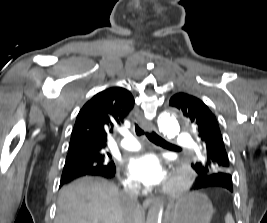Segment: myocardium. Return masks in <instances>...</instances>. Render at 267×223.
I'll list each match as a JSON object with an SVG mask.
<instances>
[{
  "instance_id": "myocardium-1",
  "label": "myocardium",
  "mask_w": 267,
  "mask_h": 223,
  "mask_svg": "<svg viewBox=\"0 0 267 223\" xmlns=\"http://www.w3.org/2000/svg\"><path fill=\"white\" fill-rule=\"evenodd\" d=\"M194 180L193 172L187 167H181L168 183L166 191L169 194H178L187 191Z\"/></svg>"
}]
</instances>
